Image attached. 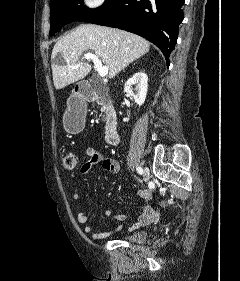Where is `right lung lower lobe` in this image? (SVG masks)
I'll return each mask as SVG.
<instances>
[{"label": "right lung lower lobe", "instance_id": "98d812e1", "mask_svg": "<svg viewBox=\"0 0 240 281\" xmlns=\"http://www.w3.org/2000/svg\"><path fill=\"white\" fill-rule=\"evenodd\" d=\"M185 0H118L115 6L93 24L123 29L154 43L165 55L174 50L178 26L183 21Z\"/></svg>", "mask_w": 240, "mask_h": 281}]
</instances>
